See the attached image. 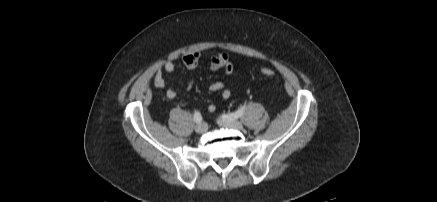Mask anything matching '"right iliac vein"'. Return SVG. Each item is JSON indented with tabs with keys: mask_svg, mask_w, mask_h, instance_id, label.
<instances>
[{
	"mask_svg": "<svg viewBox=\"0 0 437 202\" xmlns=\"http://www.w3.org/2000/svg\"><path fill=\"white\" fill-rule=\"evenodd\" d=\"M195 131L199 134L205 133L207 131L206 123H199L198 125H196Z\"/></svg>",
	"mask_w": 437,
	"mask_h": 202,
	"instance_id": "63e3f726",
	"label": "right iliac vein"
}]
</instances>
